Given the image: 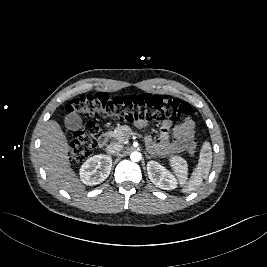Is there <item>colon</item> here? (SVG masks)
Returning a JSON list of instances; mask_svg holds the SVG:
<instances>
[{
  "label": "colon",
  "mask_w": 267,
  "mask_h": 267,
  "mask_svg": "<svg viewBox=\"0 0 267 267\" xmlns=\"http://www.w3.org/2000/svg\"><path fill=\"white\" fill-rule=\"evenodd\" d=\"M66 111L86 118L106 117L125 121L172 120L189 117L192 107L180 99L159 94H137L110 97L106 93L81 95L71 100ZM98 125L88 120L75 132L70 144L69 155L72 162H80L88 157L96 146ZM187 151L194 156L197 151L195 136L189 138Z\"/></svg>",
  "instance_id": "obj_1"
}]
</instances>
